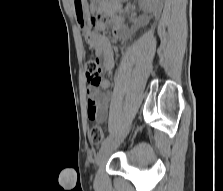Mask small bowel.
<instances>
[{
  "mask_svg": "<svg viewBox=\"0 0 223 191\" xmlns=\"http://www.w3.org/2000/svg\"><path fill=\"white\" fill-rule=\"evenodd\" d=\"M101 8H99L100 10ZM109 22L101 15L95 21V29L88 32L86 40L95 50L96 55L102 60V71H110L114 66L113 48L109 38L103 33ZM126 33V25L122 20L113 22V36L117 40H122ZM111 84L108 79H102L98 86L90 85L87 88V116L90 120L105 122L109 116L110 99L107 95L99 91L108 90Z\"/></svg>",
  "mask_w": 223,
  "mask_h": 191,
  "instance_id": "obj_1",
  "label": "small bowel"
}]
</instances>
